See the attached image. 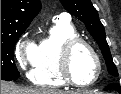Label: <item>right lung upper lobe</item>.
Returning <instances> with one entry per match:
<instances>
[{
    "mask_svg": "<svg viewBox=\"0 0 121 94\" xmlns=\"http://www.w3.org/2000/svg\"><path fill=\"white\" fill-rule=\"evenodd\" d=\"M40 10L39 0H1V33L26 30Z\"/></svg>",
    "mask_w": 121,
    "mask_h": 94,
    "instance_id": "right-lung-upper-lobe-1",
    "label": "right lung upper lobe"
}]
</instances>
